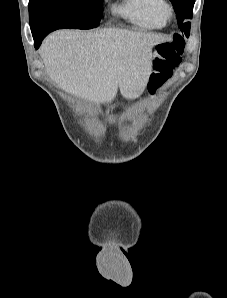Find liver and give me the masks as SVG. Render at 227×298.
Returning a JSON list of instances; mask_svg holds the SVG:
<instances>
[{
    "mask_svg": "<svg viewBox=\"0 0 227 298\" xmlns=\"http://www.w3.org/2000/svg\"><path fill=\"white\" fill-rule=\"evenodd\" d=\"M168 40L161 34L126 29H65L45 39L40 55L47 74L61 89L109 103L118 87L126 99L143 93L152 73V48Z\"/></svg>",
    "mask_w": 227,
    "mask_h": 298,
    "instance_id": "liver-1",
    "label": "liver"
}]
</instances>
